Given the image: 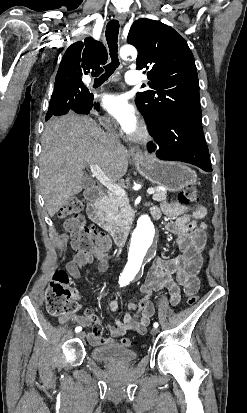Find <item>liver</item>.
<instances>
[{"instance_id":"obj_1","label":"liver","mask_w":247,"mask_h":413,"mask_svg":"<svg viewBox=\"0 0 247 413\" xmlns=\"http://www.w3.org/2000/svg\"><path fill=\"white\" fill-rule=\"evenodd\" d=\"M41 144L39 182L50 217L70 196L81 192L87 162L99 164L111 180H119L128 170V150L121 142H108L106 132L91 116L68 112L51 118Z\"/></svg>"}]
</instances>
